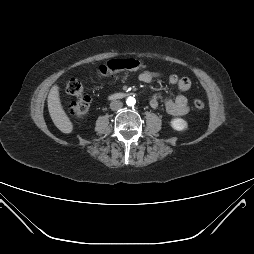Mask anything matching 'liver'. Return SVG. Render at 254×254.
I'll return each instance as SVG.
<instances>
[{
	"label": "liver",
	"instance_id": "6515ba94",
	"mask_svg": "<svg viewBox=\"0 0 254 254\" xmlns=\"http://www.w3.org/2000/svg\"><path fill=\"white\" fill-rule=\"evenodd\" d=\"M47 103L49 114L55 126L63 133H71L73 124L62 107L58 85H54L50 89Z\"/></svg>",
	"mask_w": 254,
	"mask_h": 254
}]
</instances>
